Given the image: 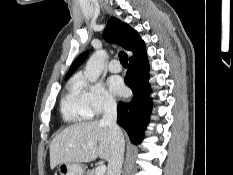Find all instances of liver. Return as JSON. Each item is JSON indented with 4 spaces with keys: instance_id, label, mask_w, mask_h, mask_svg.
<instances>
[{
    "instance_id": "1",
    "label": "liver",
    "mask_w": 233,
    "mask_h": 175,
    "mask_svg": "<svg viewBox=\"0 0 233 175\" xmlns=\"http://www.w3.org/2000/svg\"><path fill=\"white\" fill-rule=\"evenodd\" d=\"M112 140L108 125L89 121L71 125L55 136L50 145V167L61 163L109 161Z\"/></svg>"
}]
</instances>
